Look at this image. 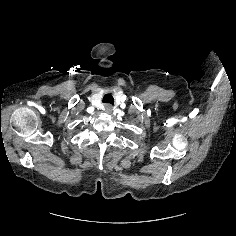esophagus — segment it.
<instances>
[{
  "instance_id": "34e87169",
  "label": "esophagus",
  "mask_w": 236,
  "mask_h": 236,
  "mask_svg": "<svg viewBox=\"0 0 236 236\" xmlns=\"http://www.w3.org/2000/svg\"><path fill=\"white\" fill-rule=\"evenodd\" d=\"M104 112L111 113L112 112V106L110 104H105Z\"/></svg>"
}]
</instances>
